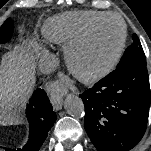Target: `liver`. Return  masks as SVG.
Returning a JSON list of instances; mask_svg holds the SVG:
<instances>
[{"mask_svg": "<svg viewBox=\"0 0 151 151\" xmlns=\"http://www.w3.org/2000/svg\"><path fill=\"white\" fill-rule=\"evenodd\" d=\"M35 81V58L29 48L16 46L3 55L0 65V119L12 118L23 107Z\"/></svg>", "mask_w": 151, "mask_h": 151, "instance_id": "obj_1", "label": "liver"}]
</instances>
